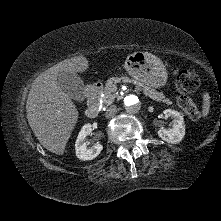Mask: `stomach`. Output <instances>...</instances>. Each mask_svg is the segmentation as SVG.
<instances>
[{
  "mask_svg": "<svg viewBox=\"0 0 221 221\" xmlns=\"http://www.w3.org/2000/svg\"><path fill=\"white\" fill-rule=\"evenodd\" d=\"M124 67L134 80L146 86L161 88L167 83L166 66L151 53L139 51L130 54Z\"/></svg>",
  "mask_w": 221,
  "mask_h": 221,
  "instance_id": "1",
  "label": "stomach"
}]
</instances>
